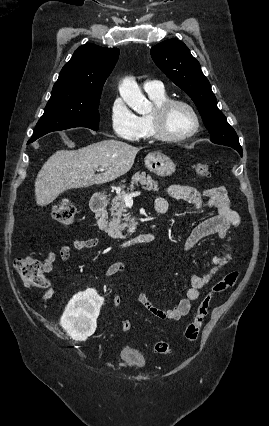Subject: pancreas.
<instances>
[{
    "label": "pancreas",
    "mask_w": 269,
    "mask_h": 426,
    "mask_svg": "<svg viewBox=\"0 0 269 426\" xmlns=\"http://www.w3.org/2000/svg\"><path fill=\"white\" fill-rule=\"evenodd\" d=\"M140 183L143 189L148 191L154 190L158 191V182L153 180L150 175H146L145 172L136 173L132 177L130 190H134V185ZM128 194V193H127ZM126 195L125 192H122L120 195L113 198L111 202V220L109 222L106 232L113 238H125L122 234V231L127 229L128 235H131L135 232L137 223L135 219L127 214L126 205L124 203L123 197Z\"/></svg>",
    "instance_id": "cf45deb5"
}]
</instances>
